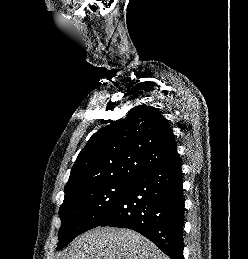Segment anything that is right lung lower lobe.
Listing matches in <instances>:
<instances>
[{
    "label": "right lung lower lobe",
    "mask_w": 248,
    "mask_h": 259,
    "mask_svg": "<svg viewBox=\"0 0 248 259\" xmlns=\"http://www.w3.org/2000/svg\"><path fill=\"white\" fill-rule=\"evenodd\" d=\"M179 158L135 178L98 224L133 229L171 259H183L184 201Z\"/></svg>",
    "instance_id": "right-lung-lower-lobe-1"
}]
</instances>
